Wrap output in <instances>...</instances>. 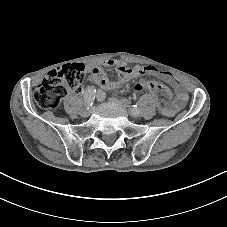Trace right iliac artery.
I'll list each match as a JSON object with an SVG mask.
<instances>
[{
  "label": "right iliac artery",
  "instance_id": "82829eb1",
  "mask_svg": "<svg viewBox=\"0 0 227 227\" xmlns=\"http://www.w3.org/2000/svg\"><path fill=\"white\" fill-rule=\"evenodd\" d=\"M95 94H96V89H94L93 87H88L84 92V101L87 109H89L92 106L95 99Z\"/></svg>",
  "mask_w": 227,
  "mask_h": 227
}]
</instances>
